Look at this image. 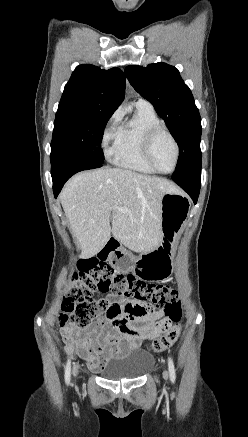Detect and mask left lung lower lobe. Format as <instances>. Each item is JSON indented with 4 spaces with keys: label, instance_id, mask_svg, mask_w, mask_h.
<instances>
[{
    "label": "left lung lower lobe",
    "instance_id": "obj_1",
    "mask_svg": "<svg viewBox=\"0 0 248 437\" xmlns=\"http://www.w3.org/2000/svg\"><path fill=\"white\" fill-rule=\"evenodd\" d=\"M175 182L190 195L194 204H196L200 192L201 177L188 180H177Z\"/></svg>",
    "mask_w": 248,
    "mask_h": 437
}]
</instances>
